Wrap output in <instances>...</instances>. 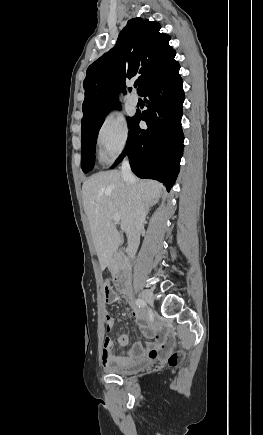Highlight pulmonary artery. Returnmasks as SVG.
Instances as JSON below:
<instances>
[{
	"label": "pulmonary artery",
	"mask_w": 263,
	"mask_h": 435,
	"mask_svg": "<svg viewBox=\"0 0 263 435\" xmlns=\"http://www.w3.org/2000/svg\"><path fill=\"white\" fill-rule=\"evenodd\" d=\"M128 101H129V103H130L131 105L135 106V105L138 104V102H139V98H138L137 95H135V94H131V95L129 96V98H128Z\"/></svg>",
	"instance_id": "obj_1"
}]
</instances>
